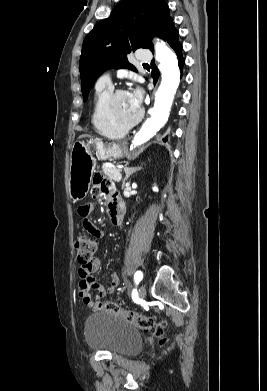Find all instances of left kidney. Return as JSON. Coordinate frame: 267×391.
<instances>
[{
    "instance_id": "1",
    "label": "left kidney",
    "mask_w": 267,
    "mask_h": 391,
    "mask_svg": "<svg viewBox=\"0 0 267 391\" xmlns=\"http://www.w3.org/2000/svg\"><path fill=\"white\" fill-rule=\"evenodd\" d=\"M152 189H153V191H155V192L158 191V187H157V186H154Z\"/></svg>"
}]
</instances>
